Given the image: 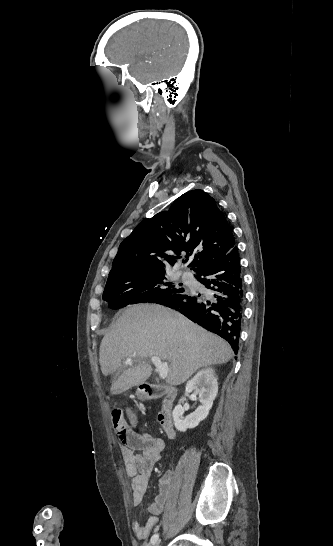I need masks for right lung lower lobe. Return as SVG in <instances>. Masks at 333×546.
<instances>
[{
  "label": "right lung lower lobe",
  "mask_w": 333,
  "mask_h": 546,
  "mask_svg": "<svg viewBox=\"0 0 333 546\" xmlns=\"http://www.w3.org/2000/svg\"><path fill=\"white\" fill-rule=\"evenodd\" d=\"M197 273L196 279L209 289L207 295H171L156 303L179 311L193 322L221 336L237 354L244 305L237 247Z\"/></svg>",
  "instance_id": "obj_1"
}]
</instances>
